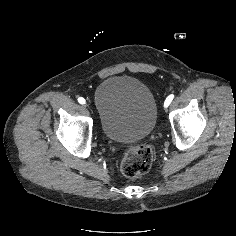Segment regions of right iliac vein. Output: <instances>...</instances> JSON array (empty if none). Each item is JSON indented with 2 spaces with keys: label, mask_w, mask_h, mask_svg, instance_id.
I'll list each match as a JSON object with an SVG mask.
<instances>
[{
  "label": "right iliac vein",
  "mask_w": 236,
  "mask_h": 236,
  "mask_svg": "<svg viewBox=\"0 0 236 236\" xmlns=\"http://www.w3.org/2000/svg\"><path fill=\"white\" fill-rule=\"evenodd\" d=\"M84 107H85L87 110H90V109H91V110L93 111V116H95V117L97 116V115L95 114V112H94L95 110H94V109L92 108V106H90L88 103H85V104H84ZM94 114H95V115H94Z\"/></svg>",
  "instance_id": "1"
}]
</instances>
